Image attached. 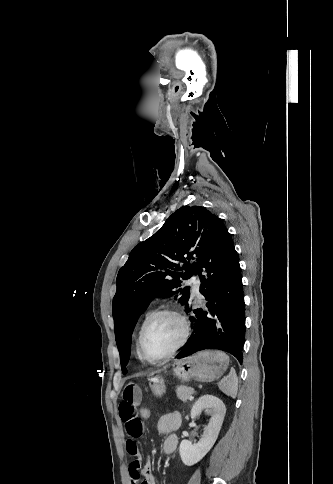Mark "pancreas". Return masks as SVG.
Here are the masks:
<instances>
[{"instance_id":"pancreas-1","label":"pancreas","mask_w":333,"mask_h":484,"mask_svg":"<svg viewBox=\"0 0 333 484\" xmlns=\"http://www.w3.org/2000/svg\"><path fill=\"white\" fill-rule=\"evenodd\" d=\"M195 393V390L192 387H188L186 385H180L176 387V394L177 397L186 402L189 398Z\"/></svg>"}]
</instances>
